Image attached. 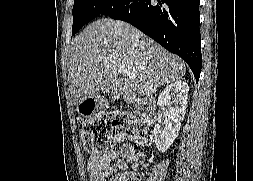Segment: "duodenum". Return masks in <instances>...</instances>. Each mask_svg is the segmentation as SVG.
<instances>
[{
	"label": "duodenum",
	"instance_id": "obj_1",
	"mask_svg": "<svg viewBox=\"0 0 253 181\" xmlns=\"http://www.w3.org/2000/svg\"><path fill=\"white\" fill-rule=\"evenodd\" d=\"M139 114L147 123L155 121V100L151 97L144 98L139 102Z\"/></svg>",
	"mask_w": 253,
	"mask_h": 181
}]
</instances>
